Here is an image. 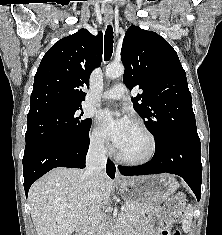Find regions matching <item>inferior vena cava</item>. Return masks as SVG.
I'll return each instance as SVG.
<instances>
[{
  "label": "inferior vena cava",
  "mask_w": 222,
  "mask_h": 235,
  "mask_svg": "<svg viewBox=\"0 0 222 235\" xmlns=\"http://www.w3.org/2000/svg\"><path fill=\"white\" fill-rule=\"evenodd\" d=\"M106 162L107 158H106V149L104 147V141L97 140L95 142H92L90 144L86 157V171H85V175L88 178V186L91 191V200L89 203V207L92 213L91 216L89 217L90 235L98 230L100 224L99 221L100 201L98 200V197L96 195V190L100 185V179L102 174L104 173Z\"/></svg>",
  "instance_id": "602c4592"
}]
</instances>
